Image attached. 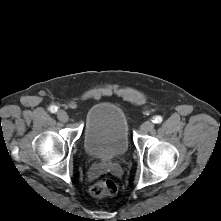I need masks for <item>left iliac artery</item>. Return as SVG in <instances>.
<instances>
[{"instance_id":"1","label":"left iliac artery","mask_w":221,"mask_h":221,"mask_svg":"<svg viewBox=\"0 0 221 221\" xmlns=\"http://www.w3.org/2000/svg\"><path fill=\"white\" fill-rule=\"evenodd\" d=\"M153 123H161L163 121V118L161 116H156L153 118Z\"/></svg>"}]
</instances>
